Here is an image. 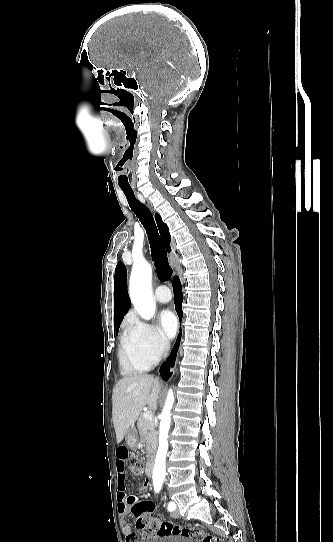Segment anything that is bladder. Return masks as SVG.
Listing matches in <instances>:
<instances>
[{"label": "bladder", "instance_id": "31cf9c89", "mask_svg": "<svg viewBox=\"0 0 333 542\" xmlns=\"http://www.w3.org/2000/svg\"><path fill=\"white\" fill-rule=\"evenodd\" d=\"M143 542H197V540L190 539L187 535L182 534H164L150 536Z\"/></svg>", "mask_w": 333, "mask_h": 542}]
</instances>
